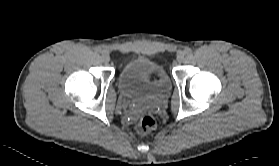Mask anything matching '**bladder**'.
Masks as SVG:
<instances>
[{"mask_svg": "<svg viewBox=\"0 0 279 166\" xmlns=\"http://www.w3.org/2000/svg\"><path fill=\"white\" fill-rule=\"evenodd\" d=\"M118 84L130 99H138L147 94L160 97L170 89L169 78L162 67L146 57L126 62L120 70Z\"/></svg>", "mask_w": 279, "mask_h": 166, "instance_id": "31cf9c89", "label": "bladder"}]
</instances>
